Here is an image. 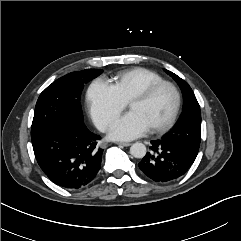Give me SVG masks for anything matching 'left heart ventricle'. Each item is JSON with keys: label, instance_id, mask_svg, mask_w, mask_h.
I'll return each mask as SVG.
<instances>
[{"label": "left heart ventricle", "instance_id": "1", "mask_svg": "<svg viewBox=\"0 0 241 241\" xmlns=\"http://www.w3.org/2000/svg\"><path fill=\"white\" fill-rule=\"evenodd\" d=\"M175 96L169 87H162L146 101H135L129 106L131 111L139 113L150 125L164 124L172 114Z\"/></svg>", "mask_w": 241, "mask_h": 241}]
</instances>
